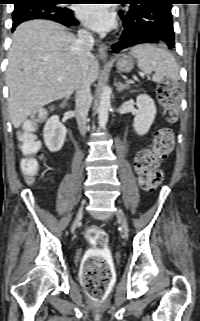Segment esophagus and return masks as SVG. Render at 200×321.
I'll return each instance as SVG.
<instances>
[{
  "label": "esophagus",
  "mask_w": 200,
  "mask_h": 321,
  "mask_svg": "<svg viewBox=\"0 0 200 321\" xmlns=\"http://www.w3.org/2000/svg\"><path fill=\"white\" fill-rule=\"evenodd\" d=\"M98 54H99V57L102 59V60H106L107 59V46L103 43H99L98 44Z\"/></svg>",
  "instance_id": "1"
}]
</instances>
